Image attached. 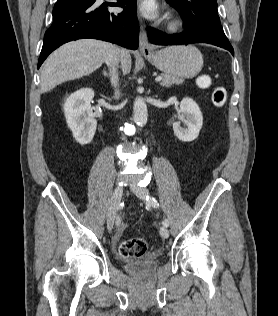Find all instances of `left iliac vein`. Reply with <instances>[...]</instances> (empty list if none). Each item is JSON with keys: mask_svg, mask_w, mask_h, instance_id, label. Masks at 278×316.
Returning a JSON list of instances; mask_svg holds the SVG:
<instances>
[{"mask_svg": "<svg viewBox=\"0 0 278 316\" xmlns=\"http://www.w3.org/2000/svg\"><path fill=\"white\" fill-rule=\"evenodd\" d=\"M131 190L132 192L138 197L140 198L141 200L145 201L146 200V196L148 195V190L143 188V187H140L136 184H132L131 185ZM160 235L163 237V238H168L169 237V230L166 226H162L160 228Z\"/></svg>", "mask_w": 278, "mask_h": 316, "instance_id": "1", "label": "left iliac vein"}]
</instances>
